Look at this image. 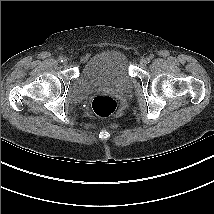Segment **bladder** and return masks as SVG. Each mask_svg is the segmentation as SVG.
I'll return each mask as SVG.
<instances>
[{"label": "bladder", "instance_id": "obj_1", "mask_svg": "<svg viewBox=\"0 0 214 214\" xmlns=\"http://www.w3.org/2000/svg\"><path fill=\"white\" fill-rule=\"evenodd\" d=\"M132 80L126 58L117 50L100 52L85 62L73 86L74 99L97 88H111L119 94L130 90Z\"/></svg>", "mask_w": 214, "mask_h": 214}]
</instances>
